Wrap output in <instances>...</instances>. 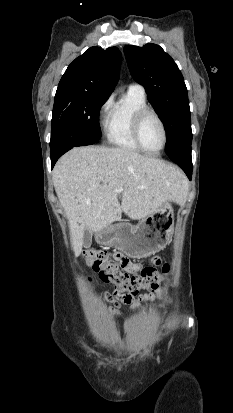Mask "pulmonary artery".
Listing matches in <instances>:
<instances>
[{
	"instance_id": "e3ab8cb5",
	"label": "pulmonary artery",
	"mask_w": 233,
	"mask_h": 413,
	"mask_svg": "<svg viewBox=\"0 0 233 413\" xmlns=\"http://www.w3.org/2000/svg\"><path fill=\"white\" fill-rule=\"evenodd\" d=\"M129 89H133V90H138V91L144 92V88H143L140 84H137V83L130 84V85H129Z\"/></svg>"
}]
</instances>
